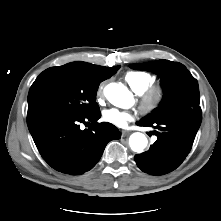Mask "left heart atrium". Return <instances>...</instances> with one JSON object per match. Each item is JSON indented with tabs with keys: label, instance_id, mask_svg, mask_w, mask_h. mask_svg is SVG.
I'll return each mask as SVG.
<instances>
[{
	"label": "left heart atrium",
	"instance_id": "1",
	"mask_svg": "<svg viewBox=\"0 0 221 221\" xmlns=\"http://www.w3.org/2000/svg\"><path fill=\"white\" fill-rule=\"evenodd\" d=\"M103 118L106 122L114 126L126 127L128 122L133 120V114L127 111L111 108L104 111Z\"/></svg>",
	"mask_w": 221,
	"mask_h": 221
}]
</instances>
